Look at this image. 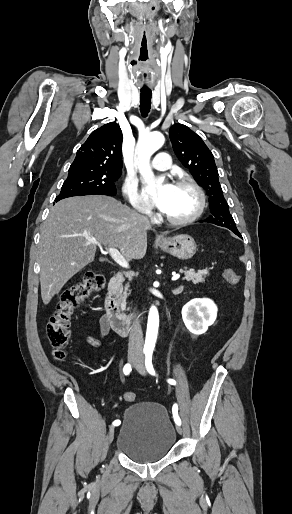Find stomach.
<instances>
[{
	"mask_svg": "<svg viewBox=\"0 0 292 514\" xmlns=\"http://www.w3.org/2000/svg\"><path fill=\"white\" fill-rule=\"evenodd\" d=\"M159 244L163 252H168L179 260H189L194 256L197 248L193 238L187 236V234L165 238V240H160Z\"/></svg>",
	"mask_w": 292,
	"mask_h": 514,
	"instance_id": "1",
	"label": "stomach"
}]
</instances>
